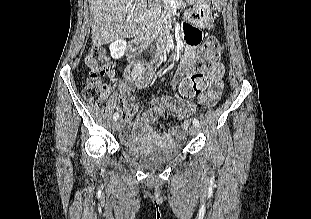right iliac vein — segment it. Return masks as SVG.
Listing matches in <instances>:
<instances>
[{"label": "right iliac vein", "mask_w": 311, "mask_h": 219, "mask_svg": "<svg viewBox=\"0 0 311 219\" xmlns=\"http://www.w3.org/2000/svg\"><path fill=\"white\" fill-rule=\"evenodd\" d=\"M119 128H120L119 123H118L117 121H114V122L112 123V129H113L115 132H117V131L119 130Z\"/></svg>", "instance_id": "63e3f726"}]
</instances>
